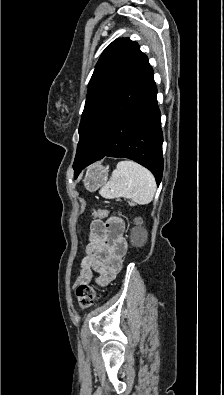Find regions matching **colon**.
Wrapping results in <instances>:
<instances>
[{"instance_id":"1","label":"colon","mask_w":224,"mask_h":395,"mask_svg":"<svg viewBox=\"0 0 224 395\" xmlns=\"http://www.w3.org/2000/svg\"><path fill=\"white\" fill-rule=\"evenodd\" d=\"M91 214L92 216L99 219H107L111 217V213L104 209L92 208ZM114 230H118V226H115ZM76 297H77L79 308L81 310H84L93 306L94 301L97 297V291L93 285L89 283H82L78 285L76 289Z\"/></svg>"}]
</instances>
